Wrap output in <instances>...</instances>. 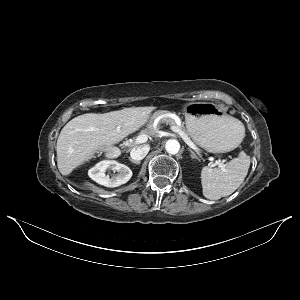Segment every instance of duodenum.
<instances>
[{
  "mask_svg": "<svg viewBox=\"0 0 300 300\" xmlns=\"http://www.w3.org/2000/svg\"><path fill=\"white\" fill-rule=\"evenodd\" d=\"M120 156V150L119 149H113L109 153L110 158H118Z\"/></svg>",
  "mask_w": 300,
  "mask_h": 300,
  "instance_id": "410a0bca",
  "label": "duodenum"
}]
</instances>
